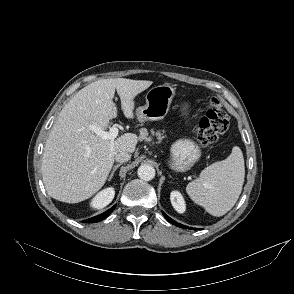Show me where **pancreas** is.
<instances>
[{
  "instance_id": "obj_1",
  "label": "pancreas",
  "mask_w": 294,
  "mask_h": 294,
  "mask_svg": "<svg viewBox=\"0 0 294 294\" xmlns=\"http://www.w3.org/2000/svg\"><path fill=\"white\" fill-rule=\"evenodd\" d=\"M151 133H152L153 135H156L157 138H158L159 140H162V139L164 138V136H162L161 132H159V131L154 132V131L152 130Z\"/></svg>"
}]
</instances>
